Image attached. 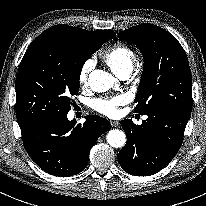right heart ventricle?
<instances>
[{
	"label": "right heart ventricle",
	"mask_w": 206,
	"mask_h": 206,
	"mask_svg": "<svg viewBox=\"0 0 206 206\" xmlns=\"http://www.w3.org/2000/svg\"><path fill=\"white\" fill-rule=\"evenodd\" d=\"M103 59L111 70L118 76L125 69H133L136 60L132 48L124 44H116L110 47L104 54Z\"/></svg>",
	"instance_id": "1"
}]
</instances>
